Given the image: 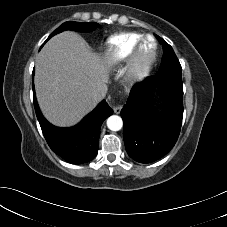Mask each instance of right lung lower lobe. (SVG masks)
Segmentation results:
<instances>
[{
  "label": "right lung lower lobe",
  "instance_id": "98d812e1",
  "mask_svg": "<svg viewBox=\"0 0 227 227\" xmlns=\"http://www.w3.org/2000/svg\"><path fill=\"white\" fill-rule=\"evenodd\" d=\"M32 89L35 112L51 150L73 164L91 161L98 152L101 125L113 113L106 101H102L78 125L60 128L50 124L44 118L38 107L34 83H32Z\"/></svg>",
  "mask_w": 227,
  "mask_h": 227
}]
</instances>
